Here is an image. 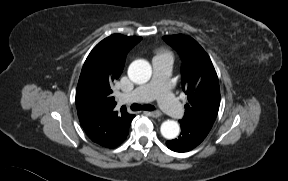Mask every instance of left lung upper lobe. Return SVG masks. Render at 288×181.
Masks as SVG:
<instances>
[{
  "instance_id": "obj_1",
  "label": "left lung upper lobe",
  "mask_w": 288,
  "mask_h": 181,
  "mask_svg": "<svg viewBox=\"0 0 288 181\" xmlns=\"http://www.w3.org/2000/svg\"><path fill=\"white\" fill-rule=\"evenodd\" d=\"M166 43L180 54L183 90L188 95L182 122L211 129L220 105L218 77L204 49L191 37L179 34L164 36Z\"/></svg>"
}]
</instances>
